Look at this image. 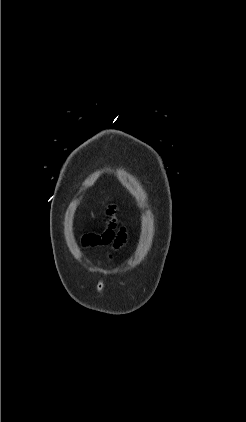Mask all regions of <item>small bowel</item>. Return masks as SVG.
<instances>
[{
    "instance_id": "small-bowel-1",
    "label": "small bowel",
    "mask_w": 246,
    "mask_h": 422,
    "mask_svg": "<svg viewBox=\"0 0 246 422\" xmlns=\"http://www.w3.org/2000/svg\"><path fill=\"white\" fill-rule=\"evenodd\" d=\"M110 215L112 214V210L110 209ZM124 231H115V223L113 220L109 222L107 229L101 234H89L85 236L84 240L86 243L91 245H107L110 243H115L119 245L123 242L125 238Z\"/></svg>"
}]
</instances>
